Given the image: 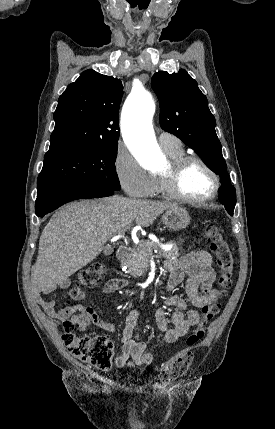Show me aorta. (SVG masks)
I'll use <instances>...</instances> for the list:
<instances>
[{
	"label": "aorta",
	"mask_w": 275,
	"mask_h": 429,
	"mask_svg": "<svg viewBox=\"0 0 275 429\" xmlns=\"http://www.w3.org/2000/svg\"><path fill=\"white\" fill-rule=\"evenodd\" d=\"M155 109L151 94L137 88L126 100L121 115V131L126 145L140 164L150 171H157L162 162L153 129Z\"/></svg>",
	"instance_id": "aorta-1"
}]
</instances>
